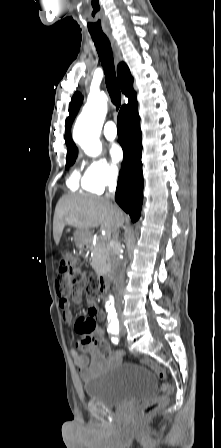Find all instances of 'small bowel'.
Masks as SVG:
<instances>
[{"instance_id":"1","label":"small bowel","mask_w":221,"mask_h":448,"mask_svg":"<svg viewBox=\"0 0 221 448\" xmlns=\"http://www.w3.org/2000/svg\"><path fill=\"white\" fill-rule=\"evenodd\" d=\"M86 281V274L79 273L66 292L59 290V306L62 309V318L66 324L73 323L71 300L78 304L81 303ZM88 314V317H82L75 322V329L80 334L77 346L87 355L79 354L74 348L71 350L72 357L83 380H87L90 374L107 365L120 362L123 358L121 350L112 351L110 349L104 333L99 327L95 325L92 331H87L84 328L87 323L93 321V317H103L102 309L92 304L88 309ZM91 332L94 333V336L90 335Z\"/></svg>"}]
</instances>
